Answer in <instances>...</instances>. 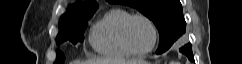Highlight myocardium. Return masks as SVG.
I'll use <instances>...</instances> for the list:
<instances>
[{"label":"myocardium","instance_id":"f54148a6","mask_svg":"<svg viewBox=\"0 0 242 64\" xmlns=\"http://www.w3.org/2000/svg\"><path fill=\"white\" fill-rule=\"evenodd\" d=\"M135 19H143L144 21H146L148 23V25L150 26V28L152 30V34H153L152 45L148 49L143 50V51H138V50L134 49L128 38L129 26H130L131 22ZM121 40H122L123 45L127 49V51L130 52L132 55L145 56V55L151 53L155 49V47L157 45V41H158V30H157L155 23L148 16L141 14V13L130 14L122 25Z\"/></svg>","mask_w":242,"mask_h":64}]
</instances>
